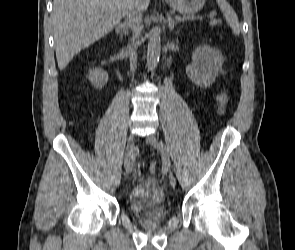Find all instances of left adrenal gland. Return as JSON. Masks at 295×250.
Wrapping results in <instances>:
<instances>
[{
	"label": "left adrenal gland",
	"instance_id": "obj_1",
	"mask_svg": "<svg viewBox=\"0 0 295 250\" xmlns=\"http://www.w3.org/2000/svg\"><path fill=\"white\" fill-rule=\"evenodd\" d=\"M177 25V21L173 20L170 15H168V27L170 30L174 28V26Z\"/></svg>",
	"mask_w": 295,
	"mask_h": 250
}]
</instances>
